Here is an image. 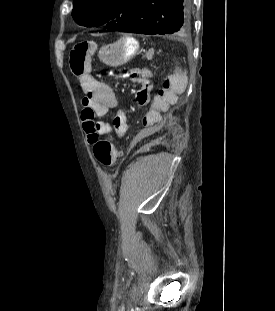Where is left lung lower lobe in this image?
I'll return each instance as SVG.
<instances>
[{
	"instance_id": "obj_1",
	"label": "left lung lower lobe",
	"mask_w": 275,
	"mask_h": 311,
	"mask_svg": "<svg viewBox=\"0 0 275 311\" xmlns=\"http://www.w3.org/2000/svg\"><path fill=\"white\" fill-rule=\"evenodd\" d=\"M191 0H142L119 29L141 34H183L190 30Z\"/></svg>"
}]
</instances>
